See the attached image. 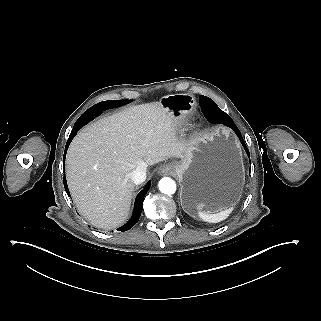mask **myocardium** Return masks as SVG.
Returning <instances> with one entry per match:
<instances>
[{"instance_id":"f54148a6","label":"myocardium","mask_w":321,"mask_h":321,"mask_svg":"<svg viewBox=\"0 0 321 321\" xmlns=\"http://www.w3.org/2000/svg\"><path fill=\"white\" fill-rule=\"evenodd\" d=\"M200 135V131L197 125L192 124L188 127V129H186L185 131V136L189 139H196L198 138Z\"/></svg>"}]
</instances>
